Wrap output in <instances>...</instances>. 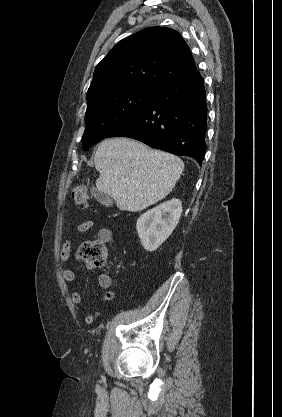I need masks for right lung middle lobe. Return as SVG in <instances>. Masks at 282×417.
<instances>
[{"label":"right lung middle lobe","mask_w":282,"mask_h":417,"mask_svg":"<svg viewBox=\"0 0 282 417\" xmlns=\"http://www.w3.org/2000/svg\"><path fill=\"white\" fill-rule=\"evenodd\" d=\"M157 91L128 88L105 92L87 98L85 114L86 129L83 134V149L105 138L111 131L142 109Z\"/></svg>","instance_id":"1"}]
</instances>
